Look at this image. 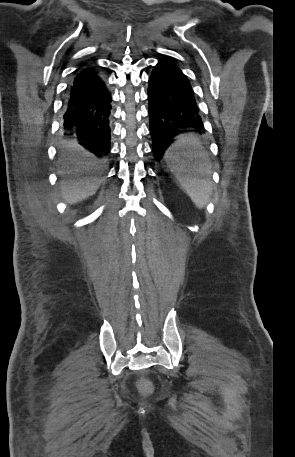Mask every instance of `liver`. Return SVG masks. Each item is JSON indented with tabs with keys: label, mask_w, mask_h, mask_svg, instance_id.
<instances>
[{
	"label": "liver",
	"mask_w": 295,
	"mask_h": 457,
	"mask_svg": "<svg viewBox=\"0 0 295 457\" xmlns=\"http://www.w3.org/2000/svg\"><path fill=\"white\" fill-rule=\"evenodd\" d=\"M77 158L64 154L59 162V174L64 177L61 182V194L66 202L73 204L93 195L100 185L97 178H73L70 175L87 172L91 169L93 161L91 154L78 152ZM74 161V162H73ZM73 164V165H72Z\"/></svg>",
	"instance_id": "1"
}]
</instances>
